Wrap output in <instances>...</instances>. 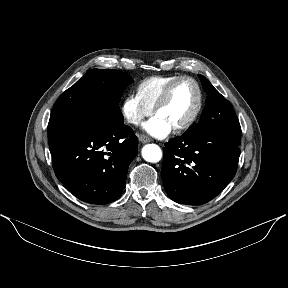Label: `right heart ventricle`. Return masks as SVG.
I'll return each mask as SVG.
<instances>
[{
    "instance_id": "e07e8e85",
    "label": "right heart ventricle",
    "mask_w": 288,
    "mask_h": 288,
    "mask_svg": "<svg viewBox=\"0 0 288 288\" xmlns=\"http://www.w3.org/2000/svg\"><path fill=\"white\" fill-rule=\"evenodd\" d=\"M178 76L156 75L142 80L136 88V96L145 105L153 108L166 88V86Z\"/></svg>"
}]
</instances>
